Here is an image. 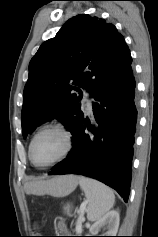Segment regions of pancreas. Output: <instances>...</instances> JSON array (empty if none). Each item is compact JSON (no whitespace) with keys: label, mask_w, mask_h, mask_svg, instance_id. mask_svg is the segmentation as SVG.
<instances>
[{"label":"pancreas","mask_w":158,"mask_h":237,"mask_svg":"<svg viewBox=\"0 0 158 237\" xmlns=\"http://www.w3.org/2000/svg\"><path fill=\"white\" fill-rule=\"evenodd\" d=\"M77 233H81V229L76 228Z\"/></svg>","instance_id":"1"}]
</instances>
